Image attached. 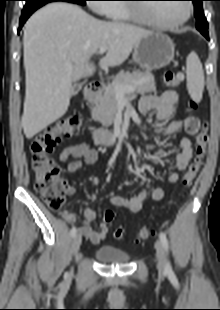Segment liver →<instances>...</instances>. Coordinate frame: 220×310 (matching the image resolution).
Returning a JSON list of instances; mask_svg holds the SVG:
<instances>
[{"label":"liver","mask_w":220,"mask_h":310,"mask_svg":"<svg viewBox=\"0 0 220 310\" xmlns=\"http://www.w3.org/2000/svg\"><path fill=\"white\" fill-rule=\"evenodd\" d=\"M151 33L127 23L98 20L64 2L50 3L34 13L23 36L26 91L22 126L26 138L67 112L73 82L95 72L90 58L100 47L107 48L100 65L118 66Z\"/></svg>","instance_id":"1"}]
</instances>
